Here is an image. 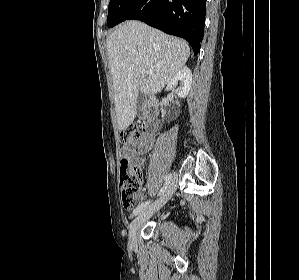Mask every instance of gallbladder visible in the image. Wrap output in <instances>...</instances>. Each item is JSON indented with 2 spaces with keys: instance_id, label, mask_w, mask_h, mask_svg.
Instances as JSON below:
<instances>
[{
  "instance_id": "1",
  "label": "gallbladder",
  "mask_w": 299,
  "mask_h": 280,
  "mask_svg": "<svg viewBox=\"0 0 299 280\" xmlns=\"http://www.w3.org/2000/svg\"><path fill=\"white\" fill-rule=\"evenodd\" d=\"M145 102V96L143 93H139L136 101L137 115L142 117V106Z\"/></svg>"
}]
</instances>
